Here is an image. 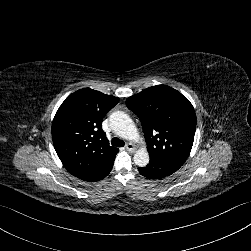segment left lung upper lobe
<instances>
[{
    "mask_svg": "<svg viewBox=\"0 0 251 251\" xmlns=\"http://www.w3.org/2000/svg\"><path fill=\"white\" fill-rule=\"evenodd\" d=\"M126 104L143 125L149 155L183 165L196 130L189 100L169 86L157 85L127 98Z\"/></svg>",
    "mask_w": 251,
    "mask_h": 251,
    "instance_id": "1",
    "label": "left lung upper lobe"
}]
</instances>
